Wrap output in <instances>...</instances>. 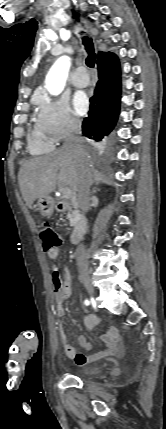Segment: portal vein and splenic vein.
<instances>
[{"instance_id": "1", "label": "portal vein and splenic vein", "mask_w": 166, "mask_h": 429, "mask_svg": "<svg viewBox=\"0 0 166 429\" xmlns=\"http://www.w3.org/2000/svg\"><path fill=\"white\" fill-rule=\"evenodd\" d=\"M60 191L62 192L63 197L66 199L71 198L73 195L72 190L70 188H62Z\"/></svg>"}]
</instances>
